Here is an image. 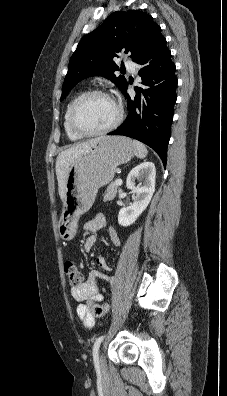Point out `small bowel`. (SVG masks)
Instances as JSON below:
<instances>
[{
  "label": "small bowel",
  "instance_id": "1",
  "mask_svg": "<svg viewBox=\"0 0 227 396\" xmlns=\"http://www.w3.org/2000/svg\"><path fill=\"white\" fill-rule=\"evenodd\" d=\"M84 228L89 232H96L101 229L107 228L108 236L111 243L115 246H119L120 239L114 228L108 226L107 219L103 214H97L92 219L88 220ZM97 242V238L95 235H90L84 242V249L86 251H90ZM97 265L103 270H110L109 265L105 261L103 257L97 258ZM103 283H110V277L102 272H93L91 273L87 280L82 282L78 286H73L71 288V294L73 298L79 302L77 306V315L82 321L83 325L87 328H90L95 323V316L92 313V310L87 305L90 303H98L103 300V296L100 293V287Z\"/></svg>",
  "mask_w": 227,
  "mask_h": 396
}]
</instances>
